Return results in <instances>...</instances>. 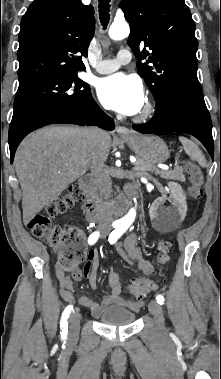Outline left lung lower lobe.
I'll return each mask as SVG.
<instances>
[{
	"instance_id": "1",
	"label": "left lung lower lobe",
	"mask_w": 221,
	"mask_h": 379,
	"mask_svg": "<svg viewBox=\"0 0 221 379\" xmlns=\"http://www.w3.org/2000/svg\"><path fill=\"white\" fill-rule=\"evenodd\" d=\"M132 127L144 134L165 131L191 134L203 143L213 158L212 122L205 102L163 96L156 102L152 119Z\"/></svg>"
}]
</instances>
